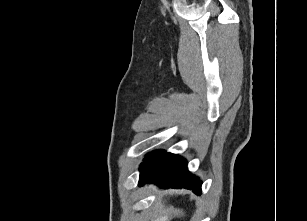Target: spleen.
I'll return each mask as SVG.
<instances>
[{"mask_svg":"<svg viewBox=\"0 0 307 221\" xmlns=\"http://www.w3.org/2000/svg\"><path fill=\"white\" fill-rule=\"evenodd\" d=\"M174 213H176L179 216H183L184 214L182 211H179V210H175Z\"/></svg>","mask_w":307,"mask_h":221,"instance_id":"spleen-1","label":"spleen"}]
</instances>
